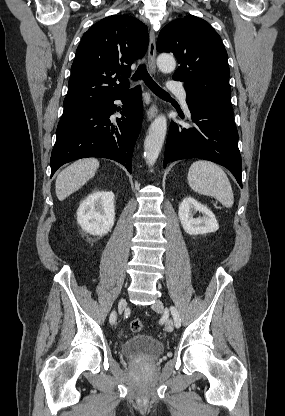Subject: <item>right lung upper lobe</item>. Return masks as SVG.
Listing matches in <instances>:
<instances>
[{
	"instance_id": "cb5924a9",
	"label": "right lung upper lobe",
	"mask_w": 285,
	"mask_h": 416,
	"mask_svg": "<svg viewBox=\"0 0 285 416\" xmlns=\"http://www.w3.org/2000/svg\"><path fill=\"white\" fill-rule=\"evenodd\" d=\"M148 43L147 26L132 16L112 15L94 24L77 48L64 106L97 105L126 92L130 66Z\"/></svg>"
}]
</instances>
